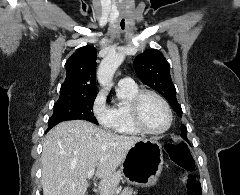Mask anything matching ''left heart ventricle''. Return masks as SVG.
I'll return each mask as SVG.
<instances>
[{
	"instance_id": "obj_1",
	"label": "left heart ventricle",
	"mask_w": 240,
	"mask_h": 195,
	"mask_svg": "<svg viewBox=\"0 0 240 195\" xmlns=\"http://www.w3.org/2000/svg\"><path fill=\"white\" fill-rule=\"evenodd\" d=\"M141 115L145 126L152 130L162 128L166 121L162 105L152 96H146L144 98L141 106Z\"/></svg>"
}]
</instances>
